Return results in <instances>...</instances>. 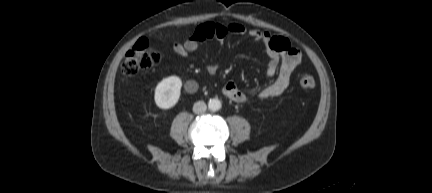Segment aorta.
I'll return each mask as SVG.
<instances>
[{
	"label": "aorta",
	"mask_w": 432,
	"mask_h": 193,
	"mask_svg": "<svg viewBox=\"0 0 432 193\" xmlns=\"http://www.w3.org/2000/svg\"><path fill=\"white\" fill-rule=\"evenodd\" d=\"M221 106H222L221 101L217 98L210 99L208 102V108L211 111H218L221 109Z\"/></svg>",
	"instance_id": "obj_1"
}]
</instances>
